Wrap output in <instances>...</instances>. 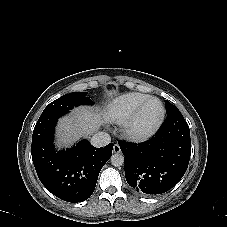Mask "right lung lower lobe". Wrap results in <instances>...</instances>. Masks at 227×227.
Here are the masks:
<instances>
[{
	"instance_id": "1",
	"label": "right lung lower lobe",
	"mask_w": 227,
	"mask_h": 227,
	"mask_svg": "<svg viewBox=\"0 0 227 227\" xmlns=\"http://www.w3.org/2000/svg\"><path fill=\"white\" fill-rule=\"evenodd\" d=\"M65 113L42 114L32 136V160L41 183L56 197L83 202L94 192L98 175L112 155L113 143L95 148L83 139L72 148L56 151L54 127Z\"/></svg>"
}]
</instances>
